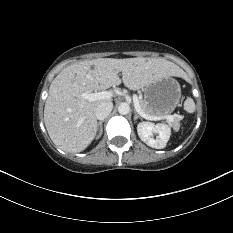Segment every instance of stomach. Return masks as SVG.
<instances>
[{
	"label": "stomach",
	"instance_id": "0dacf381",
	"mask_svg": "<svg viewBox=\"0 0 233 233\" xmlns=\"http://www.w3.org/2000/svg\"><path fill=\"white\" fill-rule=\"evenodd\" d=\"M143 93L148 109L157 116L172 113L181 98L180 85L172 77L151 83L143 89Z\"/></svg>",
	"mask_w": 233,
	"mask_h": 233
}]
</instances>
